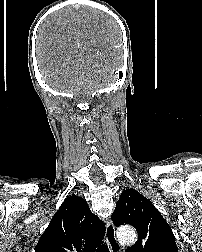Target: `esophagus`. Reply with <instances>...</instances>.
Returning <instances> with one entry per match:
<instances>
[{
	"label": "esophagus",
	"instance_id": "esophagus-1",
	"mask_svg": "<svg viewBox=\"0 0 202 252\" xmlns=\"http://www.w3.org/2000/svg\"><path fill=\"white\" fill-rule=\"evenodd\" d=\"M106 241L111 252H120L121 247L116 239L115 226L111 221H108L106 224Z\"/></svg>",
	"mask_w": 202,
	"mask_h": 252
}]
</instances>
